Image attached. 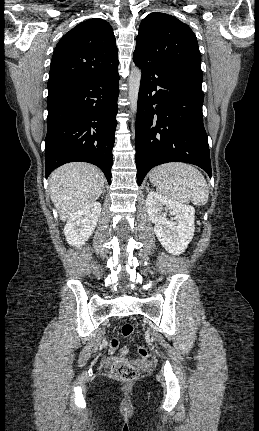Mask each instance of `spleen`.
Listing matches in <instances>:
<instances>
[{"mask_svg": "<svg viewBox=\"0 0 259 431\" xmlns=\"http://www.w3.org/2000/svg\"><path fill=\"white\" fill-rule=\"evenodd\" d=\"M157 191L167 198L181 203L190 201L197 206L205 205L209 188L205 177L192 165L180 162L166 163L155 167L149 175Z\"/></svg>", "mask_w": 259, "mask_h": 431, "instance_id": "obj_1", "label": "spleen"}]
</instances>
